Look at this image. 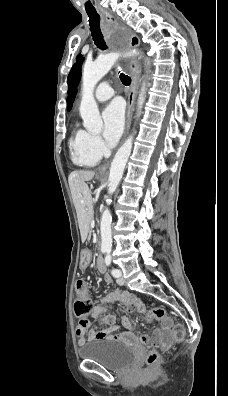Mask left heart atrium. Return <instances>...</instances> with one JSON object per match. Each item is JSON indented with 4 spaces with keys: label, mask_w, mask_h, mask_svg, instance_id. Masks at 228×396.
Segmentation results:
<instances>
[{
    "label": "left heart atrium",
    "mask_w": 228,
    "mask_h": 396,
    "mask_svg": "<svg viewBox=\"0 0 228 396\" xmlns=\"http://www.w3.org/2000/svg\"><path fill=\"white\" fill-rule=\"evenodd\" d=\"M104 138L109 144H114L120 138L124 123V105L120 100H114L103 111Z\"/></svg>",
    "instance_id": "obj_1"
}]
</instances>
